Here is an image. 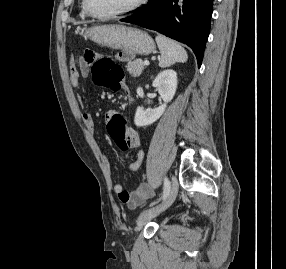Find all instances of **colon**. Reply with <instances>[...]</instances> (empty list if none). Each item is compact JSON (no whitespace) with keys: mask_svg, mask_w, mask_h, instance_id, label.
<instances>
[{"mask_svg":"<svg viewBox=\"0 0 286 269\" xmlns=\"http://www.w3.org/2000/svg\"><path fill=\"white\" fill-rule=\"evenodd\" d=\"M117 57L98 58L97 54L87 49L85 58L91 62L94 71V82L99 85H105L116 91L120 88V82L123 78L122 68L114 62H132L134 49H119ZM124 111H119L112 121H109V133L115 141L117 147L125 152L130 148V143L124 126H129V121H124Z\"/></svg>","mask_w":286,"mask_h":269,"instance_id":"5ec220e1","label":"colon"}]
</instances>
